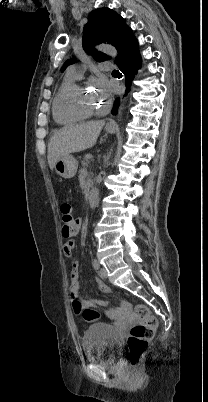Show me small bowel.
<instances>
[{"label": "small bowel", "mask_w": 208, "mask_h": 402, "mask_svg": "<svg viewBox=\"0 0 208 402\" xmlns=\"http://www.w3.org/2000/svg\"><path fill=\"white\" fill-rule=\"evenodd\" d=\"M82 227V222L81 221H76L75 226L73 227V230L75 232H80ZM77 241V238L75 236H72L70 238V242L66 244V246L63 248V253L64 257L66 259H70L72 257L71 252L74 249V243ZM94 284L96 288L103 294H109L110 293V288L100 279L96 278L94 280ZM80 288V271L79 267L76 262H73L71 264L70 268V294L72 298H77L78 292ZM81 303L86 306V307H98V306H105L107 303L104 300L100 301H95L92 299L85 298L81 300ZM108 317L116 319L119 321L117 324V327L119 329H122L125 327V324H128L130 322V318L133 316V311L130 309V304L129 303H123V305L120 308H114L110 311L107 312Z\"/></svg>", "instance_id": "1"}]
</instances>
